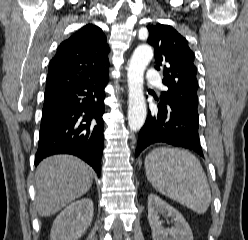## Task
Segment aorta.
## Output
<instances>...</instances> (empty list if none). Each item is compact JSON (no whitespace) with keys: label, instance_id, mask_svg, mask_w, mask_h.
I'll return each instance as SVG.
<instances>
[{"label":"aorta","instance_id":"1","mask_svg":"<svg viewBox=\"0 0 248 240\" xmlns=\"http://www.w3.org/2000/svg\"><path fill=\"white\" fill-rule=\"evenodd\" d=\"M152 58V48L140 45L135 49L127 69L128 124L133 132L139 131L145 123L147 112L143 93L144 71Z\"/></svg>","mask_w":248,"mask_h":240}]
</instances>
